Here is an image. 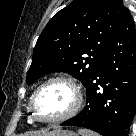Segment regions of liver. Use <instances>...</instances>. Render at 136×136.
Returning a JSON list of instances; mask_svg holds the SVG:
<instances>
[{
  "instance_id": "obj_1",
  "label": "liver",
  "mask_w": 136,
  "mask_h": 136,
  "mask_svg": "<svg viewBox=\"0 0 136 136\" xmlns=\"http://www.w3.org/2000/svg\"><path fill=\"white\" fill-rule=\"evenodd\" d=\"M50 133L52 132L51 131L49 132L48 130H42L35 132L33 136H48Z\"/></svg>"
}]
</instances>
